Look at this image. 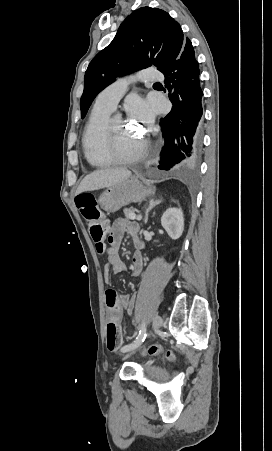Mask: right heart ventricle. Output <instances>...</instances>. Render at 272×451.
<instances>
[{
  "mask_svg": "<svg viewBox=\"0 0 272 451\" xmlns=\"http://www.w3.org/2000/svg\"><path fill=\"white\" fill-rule=\"evenodd\" d=\"M136 100V98H128L125 102L129 104ZM111 111V108L95 103L85 129L83 138L85 157L91 165L96 167L105 166L111 161V148L101 138L103 126Z\"/></svg>",
  "mask_w": 272,
  "mask_h": 451,
  "instance_id": "1",
  "label": "right heart ventricle"
}]
</instances>
